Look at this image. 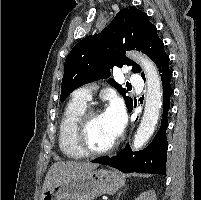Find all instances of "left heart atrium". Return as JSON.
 Masks as SVG:
<instances>
[{
    "label": "left heart atrium",
    "mask_w": 201,
    "mask_h": 200,
    "mask_svg": "<svg viewBox=\"0 0 201 200\" xmlns=\"http://www.w3.org/2000/svg\"><path fill=\"white\" fill-rule=\"evenodd\" d=\"M104 115L110 125L112 134L115 138H118L123 132L126 121L122 106L118 102H113L107 108Z\"/></svg>",
    "instance_id": "left-heart-atrium-1"
}]
</instances>
